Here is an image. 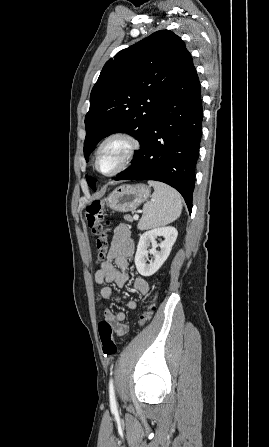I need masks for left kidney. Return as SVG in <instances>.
I'll return each instance as SVG.
<instances>
[{
    "label": "left kidney",
    "mask_w": 269,
    "mask_h": 447,
    "mask_svg": "<svg viewBox=\"0 0 269 447\" xmlns=\"http://www.w3.org/2000/svg\"><path fill=\"white\" fill-rule=\"evenodd\" d=\"M158 235H163L164 239H161L160 243H157L156 237ZM178 235V231L176 227H172V225H168V227H156V229H150V231H145L140 235L139 243L137 245V251L135 255V265L137 267V271L141 273V275H153L159 267H161L162 263H164L165 259H167L173 243L176 241V237ZM152 243L153 249H147V245ZM160 247V251H157L155 247ZM147 253H152L153 261L150 263H146V255Z\"/></svg>",
    "instance_id": "left-kidney-1"
}]
</instances>
